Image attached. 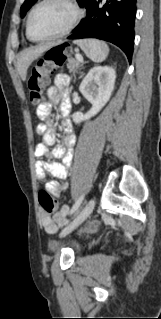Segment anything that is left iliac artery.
Segmentation results:
<instances>
[{
  "instance_id": "1",
  "label": "left iliac artery",
  "mask_w": 161,
  "mask_h": 319,
  "mask_svg": "<svg viewBox=\"0 0 161 319\" xmlns=\"http://www.w3.org/2000/svg\"><path fill=\"white\" fill-rule=\"evenodd\" d=\"M84 200V194L81 195L78 200L74 203V205L72 206L71 210H70V215H72L82 204Z\"/></svg>"
}]
</instances>
